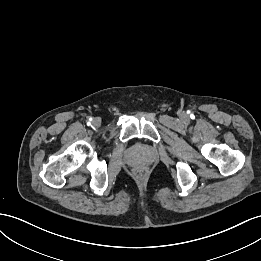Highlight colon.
<instances>
[{
    "label": "colon",
    "instance_id": "5ec220e1",
    "mask_svg": "<svg viewBox=\"0 0 261 261\" xmlns=\"http://www.w3.org/2000/svg\"><path fill=\"white\" fill-rule=\"evenodd\" d=\"M144 173V171L142 169L138 170V174L142 175Z\"/></svg>",
    "mask_w": 261,
    "mask_h": 261
}]
</instances>
